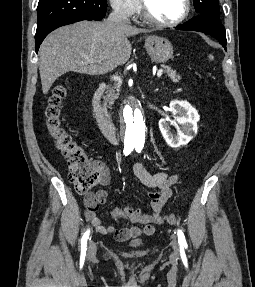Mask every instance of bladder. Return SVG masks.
<instances>
[{"mask_svg": "<svg viewBox=\"0 0 255 287\" xmlns=\"http://www.w3.org/2000/svg\"><path fill=\"white\" fill-rule=\"evenodd\" d=\"M129 244L133 247H139L143 244V240L141 238H133L129 241Z\"/></svg>", "mask_w": 255, "mask_h": 287, "instance_id": "bladder-1", "label": "bladder"}]
</instances>
